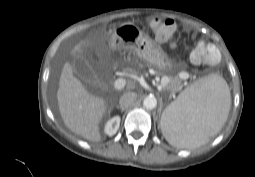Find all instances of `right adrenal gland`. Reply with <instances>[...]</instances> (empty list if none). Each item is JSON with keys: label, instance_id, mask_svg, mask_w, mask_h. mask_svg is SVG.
<instances>
[{"label": "right adrenal gland", "instance_id": "obj_1", "mask_svg": "<svg viewBox=\"0 0 255 177\" xmlns=\"http://www.w3.org/2000/svg\"><path fill=\"white\" fill-rule=\"evenodd\" d=\"M117 108L121 109V112L125 111V108L120 107L119 105L116 106Z\"/></svg>", "mask_w": 255, "mask_h": 177}]
</instances>
